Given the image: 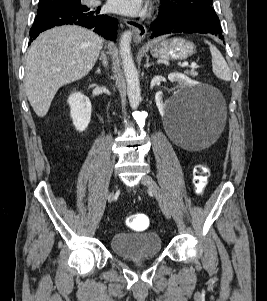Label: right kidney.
I'll return each instance as SVG.
<instances>
[{"label": "right kidney", "instance_id": "ca27d5eb", "mask_svg": "<svg viewBox=\"0 0 267 301\" xmlns=\"http://www.w3.org/2000/svg\"><path fill=\"white\" fill-rule=\"evenodd\" d=\"M70 116L77 131L83 132L91 119V102L80 92L72 93L68 98Z\"/></svg>", "mask_w": 267, "mask_h": 301}]
</instances>
